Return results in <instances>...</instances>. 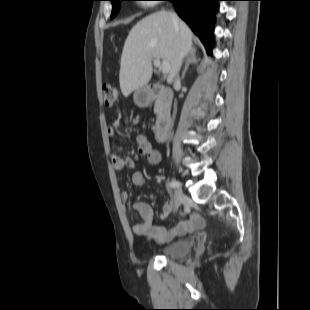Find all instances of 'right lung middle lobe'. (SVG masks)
<instances>
[{"mask_svg": "<svg viewBox=\"0 0 310 310\" xmlns=\"http://www.w3.org/2000/svg\"><path fill=\"white\" fill-rule=\"evenodd\" d=\"M112 2V14L111 18H114L120 9V1L123 0H110Z\"/></svg>", "mask_w": 310, "mask_h": 310, "instance_id": "1", "label": "right lung middle lobe"}]
</instances>
